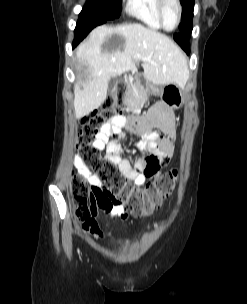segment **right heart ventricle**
<instances>
[{
    "label": "right heart ventricle",
    "instance_id": "1",
    "mask_svg": "<svg viewBox=\"0 0 247 304\" xmlns=\"http://www.w3.org/2000/svg\"><path fill=\"white\" fill-rule=\"evenodd\" d=\"M158 0H128L129 15L153 29H163L157 15Z\"/></svg>",
    "mask_w": 247,
    "mask_h": 304
}]
</instances>
